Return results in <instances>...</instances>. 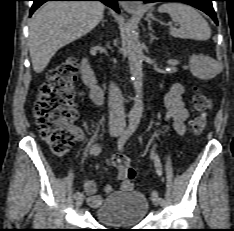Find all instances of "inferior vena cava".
Returning <instances> with one entry per match:
<instances>
[{"instance_id":"inferior-vena-cava-1","label":"inferior vena cava","mask_w":234,"mask_h":231,"mask_svg":"<svg viewBox=\"0 0 234 231\" xmlns=\"http://www.w3.org/2000/svg\"><path fill=\"white\" fill-rule=\"evenodd\" d=\"M109 124L110 126H124L125 112L123 107V97L118 86L114 83L109 87Z\"/></svg>"}]
</instances>
